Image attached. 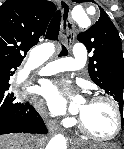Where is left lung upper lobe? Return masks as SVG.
Masks as SVG:
<instances>
[{"label": "left lung upper lobe", "instance_id": "obj_1", "mask_svg": "<svg viewBox=\"0 0 124 149\" xmlns=\"http://www.w3.org/2000/svg\"><path fill=\"white\" fill-rule=\"evenodd\" d=\"M73 1L82 2V0ZM100 12L99 20L88 30L80 33L78 40L92 54L88 66L92 81L107 94L113 96L122 112L124 103V59L121 39L105 11L100 8Z\"/></svg>", "mask_w": 124, "mask_h": 149}]
</instances>
